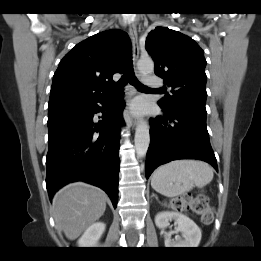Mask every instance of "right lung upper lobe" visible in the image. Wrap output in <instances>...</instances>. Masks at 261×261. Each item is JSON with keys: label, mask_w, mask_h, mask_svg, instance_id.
<instances>
[{"label": "right lung upper lobe", "mask_w": 261, "mask_h": 261, "mask_svg": "<svg viewBox=\"0 0 261 261\" xmlns=\"http://www.w3.org/2000/svg\"><path fill=\"white\" fill-rule=\"evenodd\" d=\"M128 34L119 29L97 33L78 43L60 61L54 74L49 103L82 102L111 94L115 73H123Z\"/></svg>", "instance_id": "right-lung-upper-lobe-1"}]
</instances>
